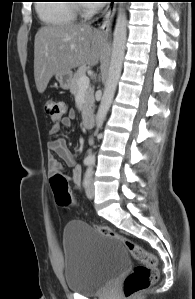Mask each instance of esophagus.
Returning <instances> with one entry per match:
<instances>
[{"label":"esophagus","mask_w":195,"mask_h":299,"mask_svg":"<svg viewBox=\"0 0 195 299\" xmlns=\"http://www.w3.org/2000/svg\"><path fill=\"white\" fill-rule=\"evenodd\" d=\"M115 11H116V4L113 1H110L107 5V7L105 8L103 15H102V20L99 24V29L100 31L107 35L110 30H111V26H112V21L115 15Z\"/></svg>","instance_id":"34e87169"}]
</instances>
